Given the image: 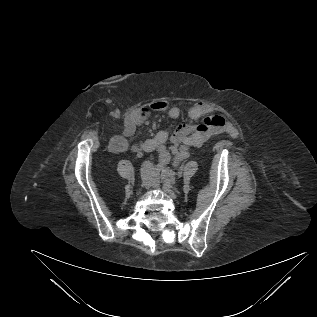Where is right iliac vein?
Wrapping results in <instances>:
<instances>
[{"mask_svg": "<svg viewBox=\"0 0 317 317\" xmlns=\"http://www.w3.org/2000/svg\"><path fill=\"white\" fill-rule=\"evenodd\" d=\"M149 176H150V170H149V168L146 167V166L143 167V168L141 169V177H142L143 181H145V182L147 183V180H148Z\"/></svg>", "mask_w": 317, "mask_h": 317, "instance_id": "obj_1", "label": "right iliac vein"}]
</instances>
